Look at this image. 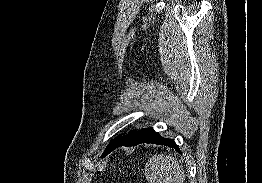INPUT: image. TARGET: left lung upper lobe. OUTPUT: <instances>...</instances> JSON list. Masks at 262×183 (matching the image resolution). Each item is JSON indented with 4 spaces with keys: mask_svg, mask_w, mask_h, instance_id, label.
<instances>
[{
    "mask_svg": "<svg viewBox=\"0 0 262 183\" xmlns=\"http://www.w3.org/2000/svg\"><path fill=\"white\" fill-rule=\"evenodd\" d=\"M136 132H137V131L133 130V131H130L127 136H118V137H116L114 140H112V141L109 143V145H108L107 148L105 149V151H104V153L102 154V156L105 155V153L108 151V149L110 148V146H111L116 140H119V139H121V138H123V137L132 136V135L135 134Z\"/></svg>",
    "mask_w": 262,
    "mask_h": 183,
    "instance_id": "5c2ea615",
    "label": "left lung upper lobe"
}]
</instances>
